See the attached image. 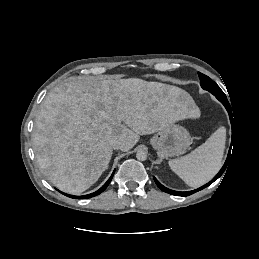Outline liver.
<instances>
[{
	"mask_svg": "<svg viewBox=\"0 0 259 259\" xmlns=\"http://www.w3.org/2000/svg\"><path fill=\"white\" fill-rule=\"evenodd\" d=\"M200 110L181 89L138 78L73 77L55 87L35 120L34 152L43 175L60 190L79 194L108 168L111 142L132 149L147 135Z\"/></svg>",
	"mask_w": 259,
	"mask_h": 259,
	"instance_id": "liver-1",
	"label": "liver"
}]
</instances>
